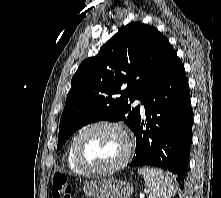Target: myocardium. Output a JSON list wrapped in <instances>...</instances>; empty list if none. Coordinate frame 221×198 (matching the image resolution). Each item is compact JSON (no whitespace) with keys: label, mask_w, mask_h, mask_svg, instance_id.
Wrapping results in <instances>:
<instances>
[{"label":"myocardium","mask_w":221,"mask_h":198,"mask_svg":"<svg viewBox=\"0 0 221 198\" xmlns=\"http://www.w3.org/2000/svg\"><path fill=\"white\" fill-rule=\"evenodd\" d=\"M98 128H109V129L116 130L118 133H120V135L123 137L125 141V150H124L122 157L115 164L107 166V167H101V168H96V167L87 165L86 163H84L80 155L81 140L90 131L98 129ZM132 150H133L132 139L129 133L126 131V129L123 126H121L120 124L116 122L99 121V122L90 124L89 126L84 128L77 134L73 143V158H74L76 165L84 173L92 174V175H104V174L113 173L123 168L130 160L131 155H132Z\"/></svg>","instance_id":"f54148a6"}]
</instances>
